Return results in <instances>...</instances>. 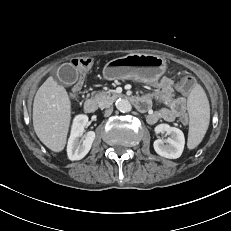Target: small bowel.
Segmentation results:
<instances>
[{
  "mask_svg": "<svg viewBox=\"0 0 231 231\" xmlns=\"http://www.w3.org/2000/svg\"><path fill=\"white\" fill-rule=\"evenodd\" d=\"M141 98L147 103V121L150 124H155L160 120L173 122L186 116L187 101L182 96H176V87L169 78H163L158 83L155 93ZM152 103L160 105V108L151 110Z\"/></svg>",
  "mask_w": 231,
  "mask_h": 231,
  "instance_id": "1",
  "label": "small bowel"
}]
</instances>
